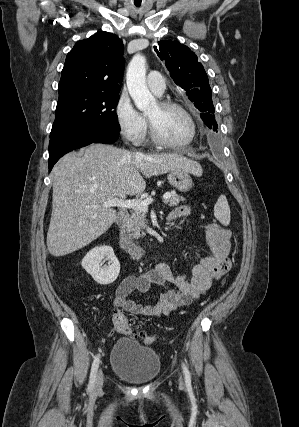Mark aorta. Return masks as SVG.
<instances>
[{"instance_id": "aorta-1", "label": "aorta", "mask_w": 299, "mask_h": 427, "mask_svg": "<svg viewBox=\"0 0 299 427\" xmlns=\"http://www.w3.org/2000/svg\"><path fill=\"white\" fill-rule=\"evenodd\" d=\"M127 87L136 107L143 112L154 109L157 105L154 96L146 85V59L136 54L130 61L126 74Z\"/></svg>"}]
</instances>
